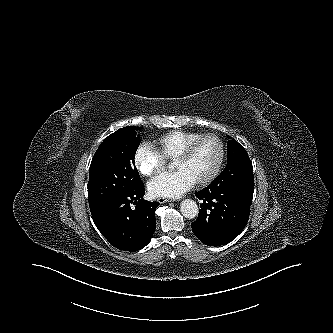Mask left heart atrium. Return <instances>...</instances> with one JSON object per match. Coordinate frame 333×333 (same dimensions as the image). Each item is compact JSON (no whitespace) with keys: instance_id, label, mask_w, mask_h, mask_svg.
Masks as SVG:
<instances>
[{"instance_id":"obj_1","label":"left heart atrium","mask_w":333,"mask_h":333,"mask_svg":"<svg viewBox=\"0 0 333 333\" xmlns=\"http://www.w3.org/2000/svg\"><path fill=\"white\" fill-rule=\"evenodd\" d=\"M195 181L183 170L163 173L148 184V190L154 197L179 198L190 190Z\"/></svg>"}]
</instances>
